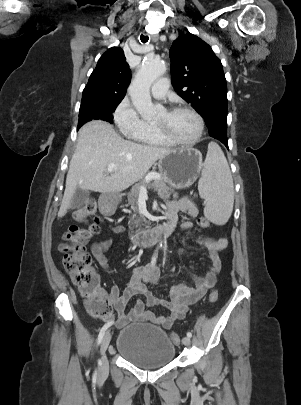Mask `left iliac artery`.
Segmentation results:
<instances>
[{
    "label": "left iliac artery",
    "mask_w": 301,
    "mask_h": 405,
    "mask_svg": "<svg viewBox=\"0 0 301 405\" xmlns=\"http://www.w3.org/2000/svg\"><path fill=\"white\" fill-rule=\"evenodd\" d=\"M187 336L190 338L192 337V333L191 332H187Z\"/></svg>",
    "instance_id": "44dca946"
}]
</instances>
